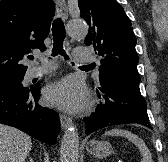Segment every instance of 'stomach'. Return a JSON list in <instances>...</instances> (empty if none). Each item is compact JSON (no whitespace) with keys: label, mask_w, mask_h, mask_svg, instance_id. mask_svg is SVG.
I'll list each match as a JSON object with an SVG mask.
<instances>
[{"label":"stomach","mask_w":168,"mask_h":162,"mask_svg":"<svg viewBox=\"0 0 168 162\" xmlns=\"http://www.w3.org/2000/svg\"><path fill=\"white\" fill-rule=\"evenodd\" d=\"M86 150L97 158H105L112 153L111 145L106 141L92 140L88 143Z\"/></svg>","instance_id":"stomach-1"}]
</instances>
